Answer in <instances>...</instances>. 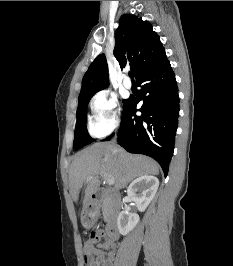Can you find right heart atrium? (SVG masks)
I'll return each mask as SVG.
<instances>
[{"label":"right heart atrium","mask_w":233,"mask_h":266,"mask_svg":"<svg viewBox=\"0 0 233 266\" xmlns=\"http://www.w3.org/2000/svg\"><path fill=\"white\" fill-rule=\"evenodd\" d=\"M90 109L89 132L91 135L104 137L119 126V101L111 92L103 90L96 93L90 102Z\"/></svg>","instance_id":"obj_1"}]
</instances>
